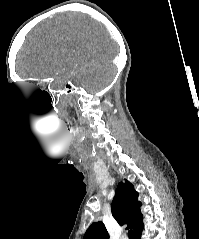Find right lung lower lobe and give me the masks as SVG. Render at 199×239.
<instances>
[{
  "mask_svg": "<svg viewBox=\"0 0 199 239\" xmlns=\"http://www.w3.org/2000/svg\"><path fill=\"white\" fill-rule=\"evenodd\" d=\"M142 230H143V223L134 231L135 239H141Z\"/></svg>",
  "mask_w": 199,
  "mask_h": 239,
  "instance_id": "98d812e1",
  "label": "right lung lower lobe"
}]
</instances>
